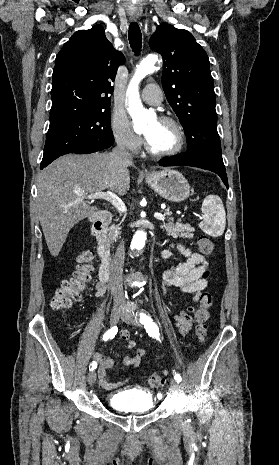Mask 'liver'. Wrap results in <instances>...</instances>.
Instances as JSON below:
<instances>
[{
    "label": "liver",
    "mask_w": 279,
    "mask_h": 465,
    "mask_svg": "<svg viewBox=\"0 0 279 465\" xmlns=\"http://www.w3.org/2000/svg\"><path fill=\"white\" fill-rule=\"evenodd\" d=\"M132 165L110 153L68 154L39 173L36 208L52 256H58L75 224L95 215L97 207L91 206L85 195L105 189L125 195Z\"/></svg>",
    "instance_id": "liver-1"
}]
</instances>
